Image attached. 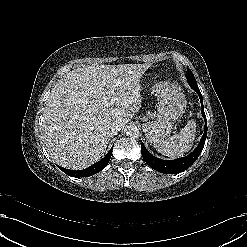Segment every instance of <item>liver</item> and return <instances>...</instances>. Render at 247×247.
Returning <instances> with one entry per match:
<instances>
[{
  "mask_svg": "<svg viewBox=\"0 0 247 247\" xmlns=\"http://www.w3.org/2000/svg\"><path fill=\"white\" fill-rule=\"evenodd\" d=\"M146 64L76 68L52 89L44 109L43 139L49 157L68 169L99 161L110 137L108 125L124 127L141 106Z\"/></svg>",
  "mask_w": 247,
  "mask_h": 247,
  "instance_id": "liver-1",
  "label": "liver"
}]
</instances>
